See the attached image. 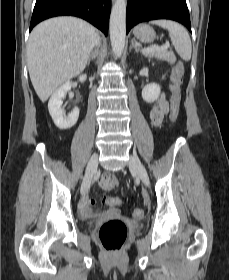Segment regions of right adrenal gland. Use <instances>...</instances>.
Wrapping results in <instances>:
<instances>
[{"label": "right adrenal gland", "instance_id": "2a0ac1e0", "mask_svg": "<svg viewBox=\"0 0 229 280\" xmlns=\"http://www.w3.org/2000/svg\"><path fill=\"white\" fill-rule=\"evenodd\" d=\"M97 57H98V49H95L94 51H92V53L88 59L87 65L90 64V61L96 59Z\"/></svg>", "mask_w": 229, "mask_h": 280}]
</instances>
